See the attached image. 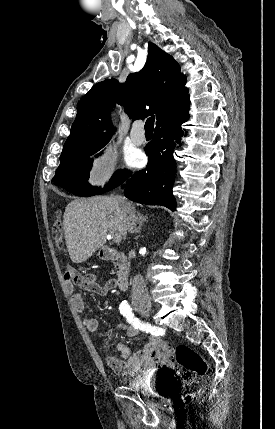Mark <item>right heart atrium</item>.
Here are the masks:
<instances>
[{
	"label": "right heart atrium",
	"mask_w": 275,
	"mask_h": 429,
	"mask_svg": "<svg viewBox=\"0 0 275 429\" xmlns=\"http://www.w3.org/2000/svg\"><path fill=\"white\" fill-rule=\"evenodd\" d=\"M87 164L89 182L94 186H103L116 175L117 153L111 147H103L88 158Z\"/></svg>",
	"instance_id": "obj_1"
}]
</instances>
